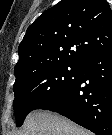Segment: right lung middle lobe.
<instances>
[{"instance_id": "1", "label": "right lung middle lobe", "mask_w": 112, "mask_h": 135, "mask_svg": "<svg viewBox=\"0 0 112 135\" xmlns=\"http://www.w3.org/2000/svg\"><path fill=\"white\" fill-rule=\"evenodd\" d=\"M80 63L59 61L46 64L38 71L16 78L13 102L16 126L20 127L26 116L72 87L77 80Z\"/></svg>"}]
</instances>
